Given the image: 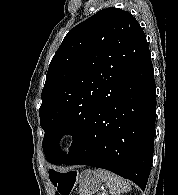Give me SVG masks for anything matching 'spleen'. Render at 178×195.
<instances>
[{
	"mask_svg": "<svg viewBox=\"0 0 178 195\" xmlns=\"http://www.w3.org/2000/svg\"><path fill=\"white\" fill-rule=\"evenodd\" d=\"M98 177L105 183L109 188L112 195H120L121 193L128 192L131 190L129 182L113 174L109 171L98 169L96 170Z\"/></svg>",
	"mask_w": 178,
	"mask_h": 195,
	"instance_id": "spleen-1",
	"label": "spleen"
}]
</instances>
